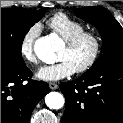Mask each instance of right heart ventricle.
Returning a JSON list of instances; mask_svg holds the SVG:
<instances>
[{"label":"right heart ventricle","instance_id":"obj_1","mask_svg":"<svg viewBox=\"0 0 123 123\" xmlns=\"http://www.w3.org/2000/svg\"><path fill=\"white\" fill-rule=\"evenodd\" d=\"M47 26L57 33L63 40L68 39L82 30H85L83 23L63 12L56 13L49 18Z\"/></svg>","mask_w":123,"mask_h":123}]
</instances>
